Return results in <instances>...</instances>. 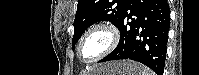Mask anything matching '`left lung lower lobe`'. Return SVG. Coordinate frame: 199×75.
I'll return each instance as SVG.
<instances>
[{
    "instance_id": "obj_1",
    "label": "left lung lower lobe",
    "mask_w": 199,
    "mask_h": 75,
    "mask_svg": "<svg viewBox=\"0 0 199 75\" xmlns=\"http://www.w3.org/2000/svg\"><path fill=\"white\" fill-rule=\"evenodd\" d=\"M169 26L167 0H130L117 27L119 44L99 62L131 59L163 75Z\"/></svg>"
}]
</instances>
